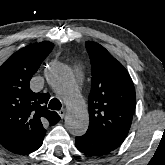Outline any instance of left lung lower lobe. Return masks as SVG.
Wrapping results in <instances>:
<instances>
[{"label": "left lung lower lobe", "instance_id": "obj_1", "mask_svg": "<svg viewBox=\"0 0 165 165\" xmlns=\"http://www.w3.org/2000/svg\"><path fill=\"white\" fill-rule=\"evenodd\" d=\"M77 149L90 156H103L120 146L119 143L108 140L92 130H87L81 137L75 138Z\"/></svg>", "mask_w": 165, "mask_h": 165}]
</instances>
